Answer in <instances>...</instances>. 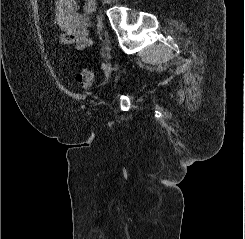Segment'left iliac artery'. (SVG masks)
<instances>
[{"instance_id": "44dca946", "label": "left iliac artery", "mask_w": 245, "mask_h": 239, "mask_svg": "<svg viewBox=\"0 0 245 239\" xmlns=\"http://www.w3.org/2000/svg\"><path fill=\"white\" fill-rule=\"evenodd\" d=\"M101 69H105V63H102V65H101Z\"/></svg>"}]
</instances>
